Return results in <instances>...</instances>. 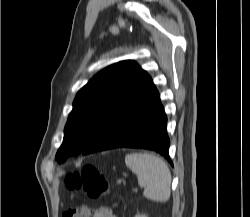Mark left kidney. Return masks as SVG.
<instances>
[{
    "label": "left kidney",
    "instance_id": "5707ae66",
    "mask_svg": "<svg viewBox=\"0 0 250 217\" xmlns=\"http://www.w3.org/2000/svg\"><path fill=\"white\" fill-rule=\"evenodd\" d=\"M135 217H147L146 215H136Z\"/></svg>",
    "mask_w": 250,
    "mask_h": 217
}]
</instances>
